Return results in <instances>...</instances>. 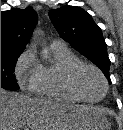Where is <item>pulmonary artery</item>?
I'll return each instance as SVG.
<instances>
[{
	"label": "pulmonary artery",
	"mask_w": 123,
	"mask_h": 130,
	"mask_svg": "<svg viewBox=\"0 0 123 130\" xmlns=\"http://www.w3.org/2000/svg\"><path fill=\"white\" fill-rule=\"evenodd\" d=\"M52 43H54V44H65L62 40H59V39H54L52 41Z\"/></svg>",
	"instance_id": "obj_1"
}]
</instances>
